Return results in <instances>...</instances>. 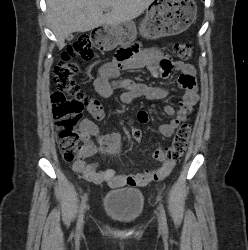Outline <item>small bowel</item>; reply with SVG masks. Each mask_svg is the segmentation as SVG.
<instances>
[{
  "instance_id": "1",
  "label": "small bowel",
  "mask_w": 248,
  "mask_h": 250,
  "mask_svg": "<svg viewBox=\"0 0 248 250\" xmlns=\"http://www.w3.org/2000/svg\"><path fill=\"white\" fill-rule=\"evenodd\" d=\"M138 68H146L153 76L160 79H168L172 70L180 72L178 85L184 90L183 98L178 108L165 106V112L171 116V120L159 128L162 136L170 138L184 120L186 109L195 105L198 100L195 69L191 64L170 60L158 47L142 48L135 45L129 49V57L126 60L106 63L100 68L94 80L95 90L101 97L108 98L113 95L115 89H120L123 91L121 100L124 103H130L136 98L165 100L168 91L163 87L137 83L130 79H119L121 70ZM88 110L94 120H104L105 112L97 101L94 100ZM136 118L140 123H147L149 119L144 110L139 111ZM79 137L82 147L79 159L73 164V170L88 182L94 184L106 182L112 188L144 186L151 181L166 178L173 169V163L165 158L163 149L158 147L152 156L161 165L155 170L146 169L143 172L128 175H117L113 169L98 170L97 165L87 163L86 158L98 153L117 156L121 147L120 134L117 131L102 134L94 121L83 118L79 124Z\"/></svg>"
}]
</instances>
